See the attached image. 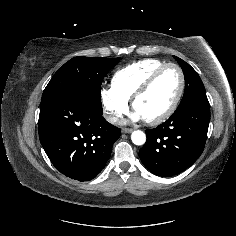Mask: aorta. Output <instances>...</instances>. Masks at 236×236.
I'll list each match as a JSON object with an SVG mask.
<instances>
[{
  "label": "aorta",
  "instance_id": "aorta-1",
  "mask_svg": "<svg viewBox=\"0 0 236 236\" xmlns=\"http://www.w3.org/2000/svg\"><path fill=\"white\" fill-rule=\"evenodd\" d=\"M131 140L135 145H143L146 142V135L140 130L133 131L131 134Z\"/></svg>",
  "mask_w": 236,
  "mask_h": 236
}]
</instances>
